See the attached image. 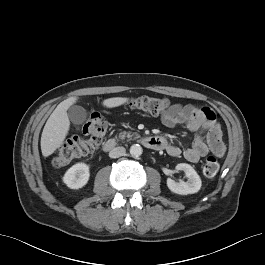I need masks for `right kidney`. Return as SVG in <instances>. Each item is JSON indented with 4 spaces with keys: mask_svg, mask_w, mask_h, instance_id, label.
Here are the masks:
<instances>
[{
    "mask_svg": "<svg viewBox=\"0 0 265 265\" xmlns=\"http://www.w3.org/2000/svg\"><path fill=\"white\" fill-rule=\"evenodd\" d=\"M89 176V166L85 163H76L66 171L63 182L71 189H79L87 184Z\"/></svg>",
    "mask_w": 265,
    "mask_h": 265,
    "instance_id": "right-kidney-1",
    "label": "right kidney"
}]
</instances>
